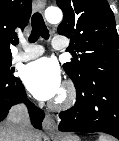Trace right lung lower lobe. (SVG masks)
Segmentation results:
<instances>
[{
    "mask_svg": "<svg viewBox=\"0 0 119 141\" xmlns=\"http://www.w3.org/2000/svg\"><path fill=\"white\" fill-rule=\"evenodd\" d=\"M22 102L28 107L32 125L41 129L44 112L26 98L21 80L16 77L8 82L0 80V121L7 116L11 106Z\"/></svg>",
    "mask_w": 119,
    "mask_h": 141,
    "instance_id": "right-lung-lower-lobe-1",
    "label": "right lung lower lobe"
}]
</instances>
